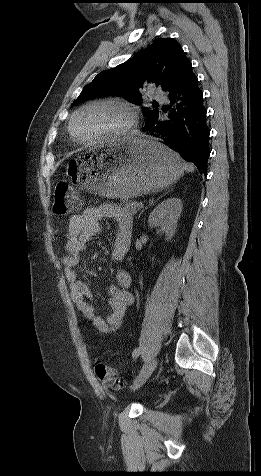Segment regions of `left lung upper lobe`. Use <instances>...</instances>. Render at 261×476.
Listing matches in <instances>:
<instances>
[{
    "label": "left lung upper lobe",
    "instance_id": "obj_1",
    "mask_svg": "<svg viewBox=\"0 0 261 476\" xmlns=\"http://www.w3.org/2000/svg\"><path fill=\"white\" fill-rule=\"evenodd\" d=\"M190 66V60L177 41L172 38L156 39L128 62L100 72L91 83L84 86L73 104L105 95H119L131 103L140 104V89L145 84L155 83L170 92ZM143 112L146 124L159 114L157 109L143 108Z\"/></svg>",
    "mask_w": 261,
    "mask_h": 476
}]
</instances>
